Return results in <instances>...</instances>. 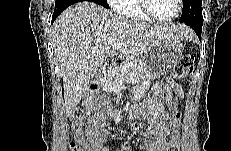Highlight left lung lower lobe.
Instances as JSON below:
<instances>
[{
	"mask_svg": "<svg viewBox=\"0 0 231 151\" xmlns=\"http://www.w3.org/2000/svg\"><path fill=\"white\" fill-rule=\"evenodd\" d=\"M185 24L190 26L196 32L199 39L201 40V31H202L203 22H201V21H192V22H186Z\"/></svg>",
	"mask_w": 231,
	"mask_h": 151,
	"instance_id": "left-lung-lower-lobe-1",
	"label": "left lung lower lobe"
}]
</instances>
